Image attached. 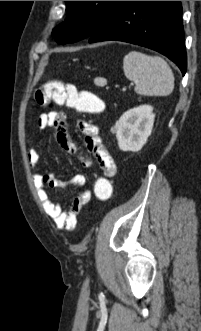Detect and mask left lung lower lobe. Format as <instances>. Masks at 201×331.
Returning <instances> with one entry per match:
<instances>
[{"mask_svg": "<svg viewBox=\"0 0 201 331\" xmlns=\"http://www.w3.org/2000/svg\"><path fill=\"white\" fill-rule=\"evenodd\" d=\"M89 43L124 41L162 53L184 75L187 68L180 1H120Z\"/></svg>", "mask_w": 201, "mask_h": 331, "instance_id": "0a47b994", "label": "left lung lower lobe"}]
</instances>
